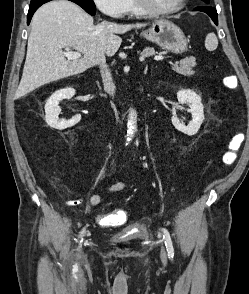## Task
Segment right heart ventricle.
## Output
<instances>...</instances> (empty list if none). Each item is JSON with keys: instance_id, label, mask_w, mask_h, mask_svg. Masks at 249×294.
Wrapping results in <instances>:
<instances>
[{"instance_id": "right-heart-ventricle-1", "label": "right heart ventricle", "mask_w": 249, "mask_h": 294, "mask_svg": "<svg viewBox=\"0 0 249 294\" xmlns=\"http://www.w3.org/2000/svg\"><path fill=\"white\" fill-rule=\"evenodd\" d=\"M124 14L135 16L143 15L138 9L135 0H126Z\"/></svg>"}]
</instances>
